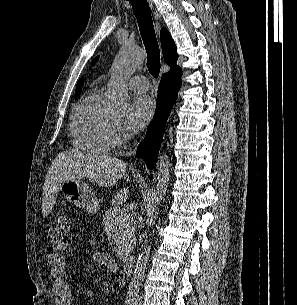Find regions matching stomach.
I'll return each mask as SVG.
<instances>
[{"label": "stomach", "mask_w": 297, "mask_h": 305, "mask_svg": "<svg viewBox=\"0 0 297 305\" xmlns=\"http://www.w3.org/2000/svg\"><path fill=\"white\" fill-rule=\"evenodd\" d=\"M59 190L65 199L76 206L96 214L99 211V202L94 191L83 181L67 179L64 180Z\"/></svg>", "instance_id": "0dacf381"}]
</instances>
